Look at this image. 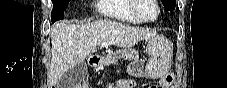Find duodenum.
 <instances>
[{"label": "duodenum", "instance_id": "410a0bca", "mask_svg": "<svg viewBox=\"0 0 227 88\" xmlns=\"http://www.w3.org/2000/svg\"><path fill=\"white\" fill-rule=\"evenodd\" d=\"M88 64L90 67H96L98 65V59L97 58L90 59Z\"/></svg>", "mask_w": 227, "mask_h": 88}]
</instances>
